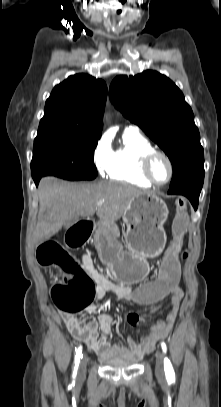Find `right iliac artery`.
Masks as SVG:
<instances>
[{
    "label": "right iliac artery",
    "instance_id": "right-iliac-artery-1",
    "mask_svg": "<svg viewBox=\"0 0 221 407\" xmlns=\"http://www.w3.org/2000/svg\"><path fill=\"white\" fill-rule=\"evenodd\" d=\"M80 358H82V346H79V348L76 351V355H75V367H74V372H73V376H76L77 373V369H78V365L80 362Z\"/></svg>",
    "mask_w": 221,
    "mask_h": 407
}]
</instances>
